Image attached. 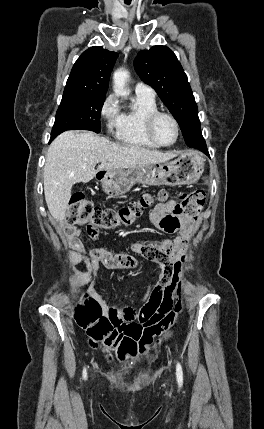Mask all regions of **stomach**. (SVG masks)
I'll return each mask as SVG.
<instances>
[{"label": "stomach", "instance_id": "0dacf381", "mask_svg": "<svg viewBox=\"0 0 264 429\" xmlns=\"http://www.w3.org/2000/svg\"><path fill=\"white\" fill-rule=\"evenodd\" d=\"M204 159L196 151L182 152L176 159L129 169L99 170L96 177L111 197L127 193L134 184L189 185L199 180Z\"/></svg>", "mask_w": 264, "mask_h": 429}]
</instances>
